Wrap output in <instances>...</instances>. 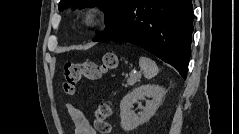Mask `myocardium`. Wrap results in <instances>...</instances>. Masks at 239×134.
Returning a JSON list of instances; mask_svg holds the SVG:
<instances>
[{
	"mask_svg": "<svg viewBox=\"0 0 239 134\" xmlns=\"http://www.w3.org/2000/svg\"><path fill=\"white\" fill-rule=\"evenodd\" d=\"M101 21V14L96 9H88L80 15V23L83 27L95 28Z\"/></svg>",
	"mask_w": 239,
	"mask_h": 134,
	"instance_id": "obj_1",
	"label": "myocardium"
}]
</instances>
